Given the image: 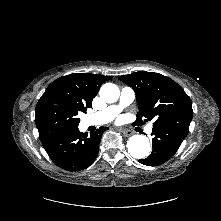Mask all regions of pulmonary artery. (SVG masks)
<instances>
[{
    "mask_svg": "<svg viewBox=\"0 0 221 221\" xmlns=\"http://www.w3.org/2000/svg\"><path fill=\"white\" fill-rule=\"evenodd\" d=\"M135 98V93L132 88L124 87L121 90L119 101L115 105L108 106L102 111L88 116L87 122L90 125H102L110 122L116 115H118L123 108L130 105ZM152 126L147 128V132L151 133Z\"/></svg>",
    "mask_w": 221,
    "mask_h": 221,
    "instance_id": "pulmonary-artery-1",
    "label": "pulmonary artery"
}]
</instances>
